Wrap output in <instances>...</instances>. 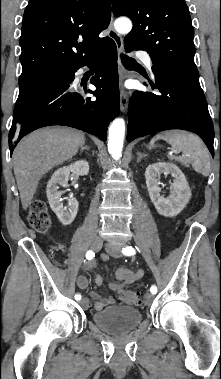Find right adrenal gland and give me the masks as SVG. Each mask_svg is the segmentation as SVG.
Listing matches in <instances>:
<instances>
[{
    "label": "right adrenal gland",
    "mask_w": 221,
    "mask_h": 379,
    "mask_svg": "<svg viewBox=\"0 0 221 379\" xmlns=\"http://www.w3.org/2000/svg\"><path fill=\"white\" fill-rule=\"evenodd\" d=\"M84 150H89V147L87 145L82 146L80 152H83Z\"/></svg>",
    "instance_id": "1"
}]
</instances>
